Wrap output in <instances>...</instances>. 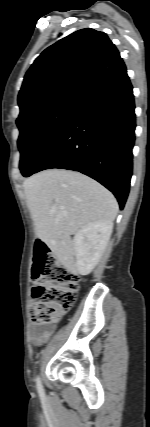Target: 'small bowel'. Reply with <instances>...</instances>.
Masks as SVG:
<instances>
[{"instance_id":"obj_1","label":"small bowel","mask_w":150,"mask_h":427,"mask_svg":"<svg viewBox=\"0 0 150 427\" xmlns=\"http://www.w3.org/2000/svg\"><path fill=\"white\" fill-rule=\"evenodd\" d=\"M52 333V328L32 326L29 330L30 341L34 345H40L47 341Z\"/></svg>"}]
</instances>
